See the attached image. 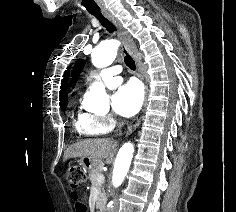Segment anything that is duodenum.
<instances>
[{
	"mask_svg": "<svg viewBox=\"0 0 236 212\" xmlns=\"http://www.w3.org/2000/svg\"><path fill=\"white\" fill-rule=\"evenodd\" d=\"M98 212H107V209L103 208V209H100Z\"/></svg>",
	"mask_w": 236,
	"mask_h": 212,
	"instance_id": "410a0bca",
	"label": "duodenum"
}]
</instances>
